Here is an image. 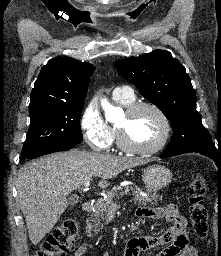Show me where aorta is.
<instances>
[{
	"instance_id": "762f6f07",
	"label": "aorta",
	"mask_w": 221,
	"mask_h": 256,
	"mask_svg": "<svg viewBox=\"0 0 221 256\" xmlns=\"http://www.w3.org/2000/svg\"><path fill=\"white\" fill-rule=\"evenodd\" d=\"M101 105L108 119L114 117L119 112V109L111 105L106 99L101 100Z\"/></svg>"
}]
</instances>
